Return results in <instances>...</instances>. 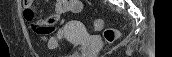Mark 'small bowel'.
<instances>
[{
    "label": "small bowel",
    "mask_w": 172,
    "mask_h": 57,
    "mask_svg": "<svg viewBox=\"0 0 172 57\" xmlns=\"http://www.w3.org/2000/svg\"><path fill=\"white\" fill-rule=\"evenodd\" d=\"M26 7L33 9L32 0H24ZM79 9V2L75 0H57L54 2V14L46 19L38 20L36 23L31 24L32 31L38 36V38L45 43L49 49H54L58 46V43L62 37V32L58 30L56 23L60 20L63 13L69 11H77ZM34 10V9H33ZM35 17H28L24 14L25 20L32 22Z\"/></svg>",
    "instance_id": "c3829d8e"
}]
</instances>
